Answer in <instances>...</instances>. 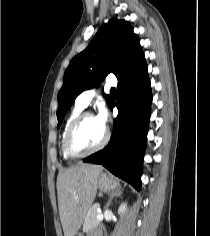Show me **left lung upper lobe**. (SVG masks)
Listing matches in <instances>:
<instances>
[{
  "mask_svg": "<svg viewBox=\"0 0 210 236\" xmlns=\"http://www.w3.org/2000/svg\"><path fill=\"white\" fill-rule=\"evenodd\" d=\"M143 62L145 57L140 40L127 21L111 19L104 24L65 71L63 86L58 93L57 128L81 92L102 82L110 72L118 81L125 79ZM104 97L110 105L111 97Z\"/></svg>",
  "mask_w": 210,
  "mask_h": 236,
  "instance_id": "1",
  "label": "left lung upper lobe"
}]
</instances>
